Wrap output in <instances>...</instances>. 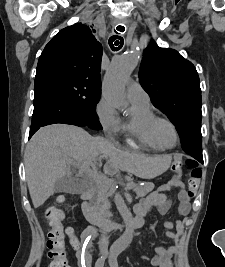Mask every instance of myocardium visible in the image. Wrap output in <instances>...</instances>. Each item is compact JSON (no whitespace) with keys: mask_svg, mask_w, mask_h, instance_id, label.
<instances>
[{"mask_svg":"<svg viewBox=\"0 0 225 267\" xmlns=\"http://www.w3.org/2000/svg\"><path fill=\"white\" fill-rule=\"evenodd\" d=\"M163 123L169 124L173 128L175 132V136H176V142L174 145L167 146L161 142L160 137H159V127ZM151 129H152V133L154 135L155 140L163 149H172L178 145L180 141L179 131H178L176 124L171 119L167 117L156 116L151 123Z\"/></svg>","mask_w":225,"mask_h":267,"instance_id":"1","label":"myocardium"}]
</instances>
